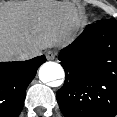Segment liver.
Wrapping results in <instances>:
<instances>
[{
  "label": "liver",
  "mask_w": 117,
  "mask_h": 117,
  "mask_svg": "<svg viewBox=\"0 0 117 117\" xmlns=\"http://www.w3.org/2000/svg\"><path fill=\"white\" fill-rule=\"evenodd\" d=\"M83 16L71 5L35 2L0 7V60L22 59L21 54L66 44Z\"/></svg>",
  "instance_id": "liver-1"
}]
</instances>
